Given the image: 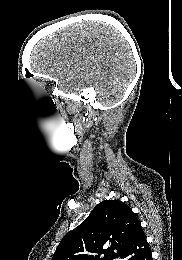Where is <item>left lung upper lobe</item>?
I'll list each match as a JSON object with an SVG mask.
<instances>
[{
  "label": "left lung upper lobe",
  "instance_id": "obj_1",
  "mask_svg": "<svg viewBox=\"0 0 182 260\" xmlns=\"http://www.w3.org/2000/svg\"><path fill=\"white\" fill-rule=\"evenodd\" d=\"M135 213L119 200H105L59 243L52 260H113L122 256L137 228ZM101 254H104L101 257Z\"/></svg>",
  "mask_w": 182,
  "mask_h": 260
}]
</instances>
